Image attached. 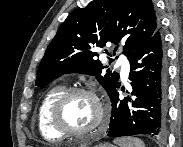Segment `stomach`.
<instances>
[{
  "label": "stomach",
  "instance_id": "obj_1",
  "mask_svg": "<svg viewBox=\"0 0 183 147\" xmlns=\"http://www.w3.org/2000/svg\"><path fill=\"white\" fill-rule=\"evenodd\" d=\"M94 147H115V146L110 143L104 142V143H100Z\"/></svg>",
  "mask_w": 183,
  "mask_h": 147
}]
</instances>
